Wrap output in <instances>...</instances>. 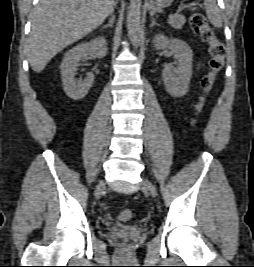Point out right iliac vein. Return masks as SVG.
I'll return each instance as SVG.
<instances>
[{
    "mask_svg": "<svg viewBox=\"0 0 254 267\" xmlns=\"http://www.w3.org/2000/svg\"><path fill=\"white\" fill-rule=\"evenodd\" d=\"M106 188V185H105V182L101 181L97 187H96V190H95V196L97 199L100 198V195L102 194V192L105 190Z\"/></svg>",
    "mask_w": 254,
    "mask_h": 267,
    "instance_id": "obj_1",
    "label": "right iliac vein"
}]
</instances>
